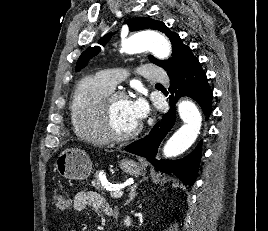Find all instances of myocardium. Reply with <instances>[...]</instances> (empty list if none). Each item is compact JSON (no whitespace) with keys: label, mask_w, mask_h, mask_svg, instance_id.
Here are the masks:
<instances>
[{"label":"myocardium","mask_w":268,"mask_h":231,"mask_svg":"<svg viewBox=\"0 0 268 231\" xmlns=\"http://www.w3.org/2000/svg\"><path fill=\"white\" fill-rule=\"evenodd\" d=\"M121 99H128V95L121 90L113 89L103 97L100 104L99 119L101 129L110 140L114 141L131 139L137 136L142 129L141 124L129 132H120L116 129L113 122L112 109L115 102Z\"/></svg>","instance_id":"f54148a6"}]
</instances>
